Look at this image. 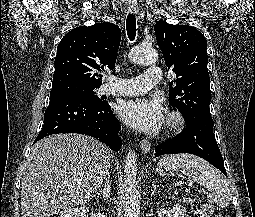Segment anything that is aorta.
<instances>
[{
  "mask_svg": "<svg viewBox=\"0 0 255 217\" xmlns=\"http://www.w3.org/2000/svg\"><path fill=\"white\" fill-rule=\"evenodd\" d=\"M158 54L152 48L135 47L129 53L131 62L137 65L154 64ZM137 155L130 150L124 161V217H140L139 193L136 186Z\"/></svg>",
  "mask_w": 255,
  "mask_h": 217,
  "instance_id": "762f6f07",
  "label": "aorta"
}]
</instances>
